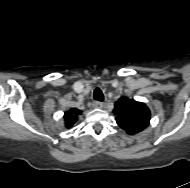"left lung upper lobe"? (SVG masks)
Returning <instances> with one entry per match:
<instances>
[{"instance_id":"left-lung-upper-lobe-1","label":"left lung upper lobe","mask_w":190,"mask_h":188,"mask_svg":"<svg viewBox=\"0 0 190 188\" xmlns=\"http://www.w3.org/2000/svg\"><path fill=\"white\" fill-rule=\"evenodd\" d=\"M117 124L128 134L144 130L150 122V111L146 104L122 96L114 108Z\"/></svg>"}]
</instances>
